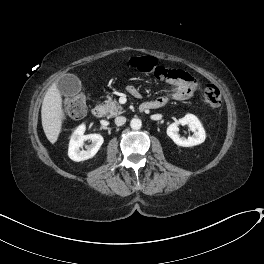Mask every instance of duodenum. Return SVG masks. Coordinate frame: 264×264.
<instances>
[{"mask_svg": "<svg viewBox=\"0 0 264 264\" xmlns=\"http://www.w3.org/2000/svg\"><path fill=\"white\" fill-rule=\"evenodd\" d=\"M133 94L135 95V96H138L139 95V93L137 92V91H134L133 92ZM105 106H104V104H102V103H100V102H96L94 105H93V107H92V115L95 117V118H97V119H99V118H102L103 116H104V114H105ZM147 110H149V107L148 106H146V105H141L140 106V111H147Z\"/></svg>", "mask_w": 264, "mask_h": 264, "instance_id": "obj_1", "label": "duodenum"}]
</instances>
